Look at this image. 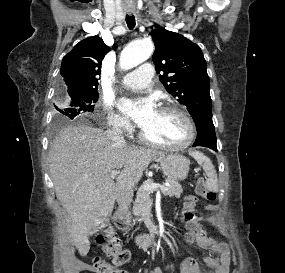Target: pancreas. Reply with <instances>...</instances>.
Returning a JSON list of instances; mask_svg holds the SVG:
<instances>
[{"label":"pancreas","mask_w":285,"mask_h":273,"mask_svg":"<svg viewBox=\"0 0 285 273\" xmlns=\"http://www.w3.org/2000/svg\"><path fill=\"white\" fill-rule=\"evenodd\" d=\"M152 182H153L152 180H148L147 182H145V184H150ZM166 182H168L169 185L167 186L168 191L164 192L165 195H168L170 197H173V196L179 197L181 193L183 192V189L180 183L175 180L169 179V178L166 179ZM150 202H151L150 191L140 188L137 191L136 200L133 205V209H132L133 214L135 216L142 217L144 212L146 211L147 205Z\"/></svg>","instance_id":"1"}]
</instances>
